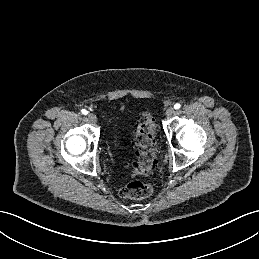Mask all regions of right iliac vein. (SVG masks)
<instances>
[{
  "label": "right iliac vein",
  "instance_id": "1",
  "mask_svg": "<svg viewBox=\"0 0 259 259\" xmlns=\"http://www.w3.org/2000/svg\"><path fill=\"white\" fill-rule=\"evenodd\" d=\"M88 119L94 123L97 121V117L93 113L88 114Z\"/></svg>",
  "mask_w": 259,
  "mask_h": 259
}]
</instances>
